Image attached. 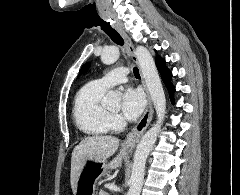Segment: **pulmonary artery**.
Returning a JSON list of instances; mask_svg holds the SVG:
<instances>
[{"label":"pulmonary artery","instance_id":"obj_1","mask_svg":"<svg viewBox=\"0 0 240 195\" xmlns=\"http://www.w3.org/2000/svg\"><path fill=\"white\" fill-rule=\"evenodd\" d=\"M127 73L128 70L125 69V66H118V71H110L109 74L104 75L103 78H97V83H103L107 88H110L115 84L126 81L125 74Z\"/></svg>","mask_w":240,"mask_h":195}]
</instances>
